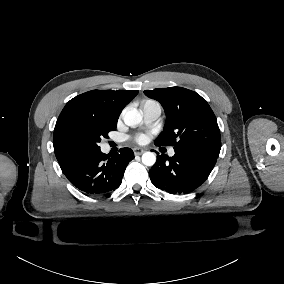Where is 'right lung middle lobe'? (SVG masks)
<instances>
[{
	"label": "right lung middle lobe",
	"instance_id": "obj_1",
	"mask_svg": "<svg viewBox=\"0 0 284 284\" xmlns=\"http://www.w3.org/2000/svg\"><path fill=\"white\" fill-rule=\"evenodd\" d=\"M116 127L104 125L94 119L82 116H72L65 124V134L68 140L82 153L99 150L101 138H107L108 133Z\"/></svg>",
	"mask_w": 284,
	"mask_h": 284
}]
</instances>
